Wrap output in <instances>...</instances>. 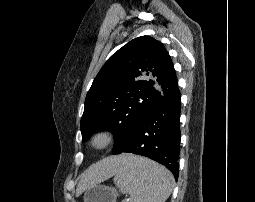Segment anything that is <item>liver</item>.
<instances>
[{
  "instance_id": "liver-1",
  "label": "liver",
  "mask_w": 255,
  "mask_h": 202,
  "mask_svg": "<svg viewBox=\"0 0 255 202\" xmlns=\"http://www.w3.org/2000/svg\"><path fill=\"white\" fill-rule=\"evenodd\" d=\"M130 157L127 154L111 156L89 167L80 176L77 194L114 175Z\"/></svg>"
}]
</instances>
